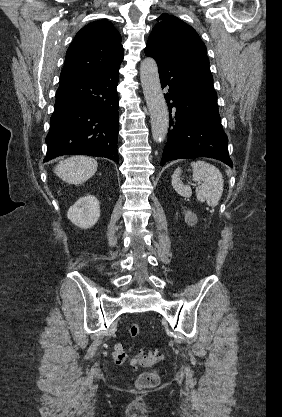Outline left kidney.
<instances>
[{
  "mask_svg": "<svg viewBox=\"0 0 282 417\" xmlns=\"http://www.w3.org/2000/svg\"><path fill=\"white\" fill-rule=\"evenodd\" d=\"M198 219L195 215V213H191V211H186L185 213V223L189 225V227H193V225H196Z\"/></svg>",
  "mask_w": 282,
  "mask_h": 417,
  "instance_id": "obj_1",
  "label": "left kidney"
}]
</instances>
